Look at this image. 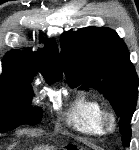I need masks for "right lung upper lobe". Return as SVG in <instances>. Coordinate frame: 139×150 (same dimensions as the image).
<instances>
[{
  "mask_svg": "<svg viewBox=\"0 0 139 150\" xmlns=\"http://www.w3.org/2000/svg\"><path fill=\"white\" fill-rule=\"evenodd\" d=\"M46 47L37 52L13 50L3 59V73L23 75L32 78L38 70L48 83L62 77L59 52L54 40L45 41Z\"/></svg>",
  "mask_w": 139,
  "mask_h": 150,
  "instance_id": "cb5924a9",
  "label": "right lung upper lobe"
}]
</instances>
